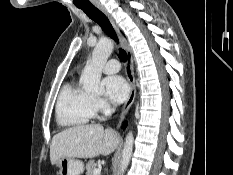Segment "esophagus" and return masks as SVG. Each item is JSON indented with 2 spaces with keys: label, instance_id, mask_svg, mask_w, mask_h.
Wrapping results in <instances>:
<instances>
[{
  "label": "esophagus",
  "instance_id": "34e87169",
  "mask_svg": "<svg viewBox=\"0 0 233 175\" xmlns=\"http://www.w3.org/2000/svg\"><path fill=\"white\" fill-rule=\"evenodd\" d=\"M93 3L109 19V21L113 25L114 29L118 33L121 44H122V46L124 47V49H125V51L127 53V62H126V66H125V71H126V76H127L129 85H130V94H129V97H128L127 101L125 102V104H124V106L122 108L120 118H119V122H118V125H117V127H119L121 122L125 118L126 114L128 113L130 107L132 106V104L134 102V99H135V96H136V86H135V79H134V74H133L132 52H131V48L128 45L125 37L122 35V33L120 32L117 24L115 23L112 15L107 11V9L100 2L94 1Z\"/></svg>",
  "mask_w": 233,
  "mask_h": 175
}]
</instances>
